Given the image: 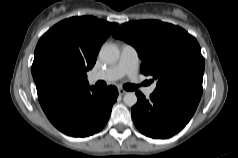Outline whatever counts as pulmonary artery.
Listing matches in <instances>:
<instances>
[{
    "instance_id": "1",
    "label": "pulmonary artery",
    "mask_w": 238,
    "mask_h": 158,
    "mask_svg": "<svg viewBox=\"0 0 238 158\" xmlns=\"http://www.w3.org/2000/svg\"><path fill=\"white\" fill-rule=\"evenodd\" d=\"M138 63L139 59L136 49L129 44H123L118 62L101 72L90 74L89 81L91 83H95L99 80L112 82L120 79L124 75H128L132 80L136 81ZM155 88V85L144 88V94L150 96Z\"/></svg>"
}]
</instances>
